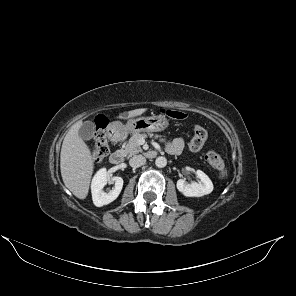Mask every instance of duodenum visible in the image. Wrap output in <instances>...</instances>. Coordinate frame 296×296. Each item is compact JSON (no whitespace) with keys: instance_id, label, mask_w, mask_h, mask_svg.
Listing matches in <instances>:
<instances>
[{"instance_id":"1","label":"duodenum","mask_w":296,"mask_h":296,"mask_svg":"<svg viewBox=\"0 0 296 296\" xmlns=\"http://www.w3.org/2000/svg\"><path fill=\"white\" fill-rule=\"evenodd\" d=\"M108 135L112 140L118 141L122 138V132L116 127H110L108 130ZM123 152L117 150L110 155V162L113 165H120L123 161Z\"/></svg>"}]
</instances>
